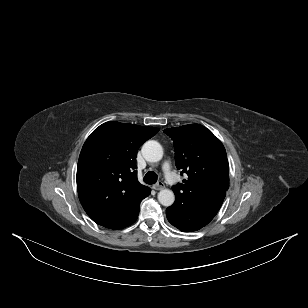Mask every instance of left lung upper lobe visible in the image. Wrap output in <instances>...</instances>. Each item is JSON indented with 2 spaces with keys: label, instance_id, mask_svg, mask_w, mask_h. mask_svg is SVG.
<instances>
[{
  "label": "left lung upper lobe",
  "instance_id": "5c2ea615",
  "mask_svg": "<svg viewBox=\"0 0 308 308\" xmlns=\"http://www.w3.org/2000/svg\"><path fill=\"white\" fill-rule=\"evenodd\" d=\"M174 141L175 162L188 179L173 187L181 207L225 193L229 188V164L223 144L200 124L164 130Z\"/></svg>",
  "mask_w": 308,
  "mask_h": 308
}]
</instances>
